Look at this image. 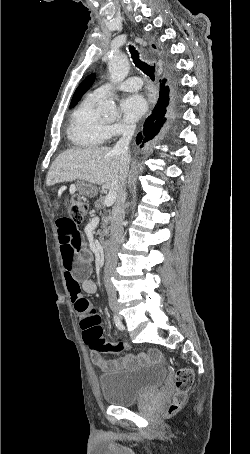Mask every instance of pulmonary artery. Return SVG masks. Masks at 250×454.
Masks as SVG:
<instances>
[{
  "instance_id": "1",
  "label": "pulmonary artery",
  "mask_w": 250,
  "mask_h": 454,
  "mask_svg": "<svg viewBox=\"0 0 250 454\" xmlns=\"http://www.w3.org/2000/svg\"><path fill=\"white\" fill-rule=\"evenodd\" d=\"M142 87V80L140 77L134 76L126 79L120 84L114 85L112 83L106 82L97 89H95L90 96L95 99H101L109 94L111 91H135Z\"/></svg>"
}]
</instances>
